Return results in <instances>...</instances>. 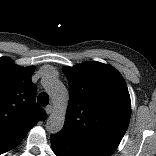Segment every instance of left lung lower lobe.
Wrapping results in <instances>:
<instances>
[{
    "instance_id": "0a47b994",
    "label": "left lung lower lobe",
    "mask_w": 156,
    "mask_h": 156,
    "mask_svg": "<svg viewBox=\"0 0 156 156\" xmlns=\"http://www.w3.org/2000/svg\"><path fill=\"white\" fill-rule=\"evenodd\" d=\"M51 146L57 156H110L98 149L73 141L60 133L51 135Z\"/></svg>"
}]
</instances>
